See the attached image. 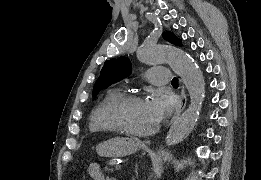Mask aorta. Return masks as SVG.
<instances>
[{
  "label": "aorta",
  "instance_id": "obj_1",
  "mask_svg": "<svg viewBox=\"0 0 261 180\" xmlns=\"http://www.w3.org/2000/svg\"><path fill=\"white\" fill-rule=\"evenodd\" d=\"M137 58L146 64L168 63L189 92V107L174 121L166 137L168 146L178 144L191 133L198 121L205 97L203 74L186 52L170 45H144L137 51Z\"/></svg>",
  "mask_w": 261,
  "mask_h": 180
}]
</instances>
